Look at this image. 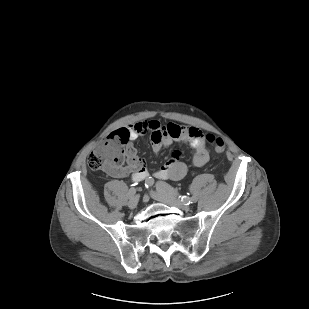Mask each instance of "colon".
Returning a JSON list of instances; mask_svg holds the SVG:
<instances>
[{"instance_id":"colon-1","label":"colon","mask_w":309,"mask_h":309,"mask_svg":"<svg viewBox=\"0 0 309 309\" xmlns=\"http://www.w3.org/2000/svg\"><path fill=\"white\" fill-rule=\"evenodd\" d=\"M206 140L211 143L214 150L221 153L225 150L222 138L207 135ZM126 136L115 132L106 137L88 155L87 164L92 170L115 171L126 158Z\"/></svg>"}]
</instances>
